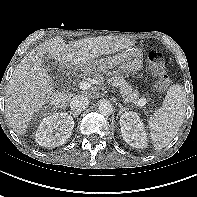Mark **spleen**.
I'll return each instance as SVG.
<instances>
[{
	"instance_id": "1",
	"label": "spleen",
	"mask_w": 197,
	"mask_h": 197,
	"mask_svg": "<svg viewBox=\"0 0 197 197\" xmlns=\"http://www.w3.org/2000/svg\"><path fill=\"white\" fill-rule=\"evenodd\" d=\"M186 113V92L174 84L167 91L163 105L148 119L149 136L156 150L168 145L182 126Z\"/></svg>"
}]
</instances>
